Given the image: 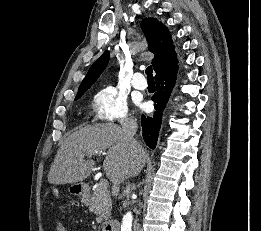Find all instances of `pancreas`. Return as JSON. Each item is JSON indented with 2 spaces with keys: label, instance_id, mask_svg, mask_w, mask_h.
<instances>
[{
  "label": "pancreas",
  "instance_id": "pancreas-1",
  "mask_svg": "<svg viewBox=\"0 0 261 231\" xmlns=\"http://www.w3.org/2000/svg\"><path fill=\"white\" fill-rule=\"evenodd\" d=\"M86 204L89 206V211L97 215L96 221L98 223H102L110 218L112 200L108 190L98 185L93 189L92 194L86 198Z\"/></svg>",
  "mask_w": 261,
  "mask_h": 231
}]
</instances>
